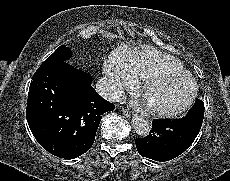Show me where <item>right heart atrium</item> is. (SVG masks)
Wrapping results in <instances>:
<instances>
[{
  "mask_svg": "<svg viewBox=\"0 0 230 181\" xmlns=\"http://www.w3.org/2000/svg\"><path fill=\"white\" fill-rule=\"evenodd\" d=\"M105 90L110 95H119L135 83L136 77L129 71L113 66L110 61L103 65Z\"/></svg>",
  "mask_w": 230,
  "mask_h": 181,
  "instance_id": "right-heart-atrium-1",
  "label": "right heart atrium"
}]
</instances>
